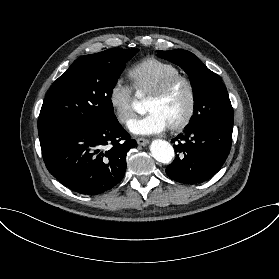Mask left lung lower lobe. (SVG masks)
Here are the masks:
<instances>
[{"label":"left lung lower lobe","instance_id":"0a47b994","mask_svg":"<svg viewBox=\"0 0 279 279\" xmlns=\"http://www.w3.org/2000/svg\"><path fill=\"white\" fill-rule=\"evenodd\" d=\"M233 125L203 122L186 128L172 140L176 155L167 166V175L180 183L195 184L217 173L229 155Z\"/></svg>","mask_w":279,"mask_h":279}]
</instances>
